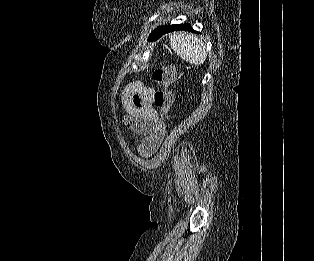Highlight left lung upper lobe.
I'll use <instances>...</instances> for the list:
<instances>
[{
	"instance_id": "left-lung-upper-lobe-1",
	"label": "left lung upper lobe",
	"mask_w": 314,
	"mask_h": 261,
	"mask_svg": "<svg viewBox=\"0 0 314 261\" xmlns=\"http://www.w3.org/2000/svg\"><path fill=\"white\" fill-rule=\"evenodd\" d=\"M159 29H161V27H158L157 29H155V30L151 33V35H150V37H149V41H151L152 37L154 36V34H155L156 32L159 31Z\"/></svg>"
}]
</instances>
